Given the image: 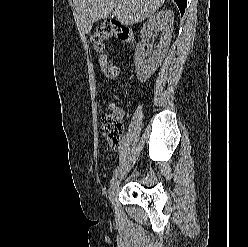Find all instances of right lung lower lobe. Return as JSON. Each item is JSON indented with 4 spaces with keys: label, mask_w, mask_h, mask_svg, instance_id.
<instances>
[{
    "label": "right lung lower lobe",
    "mask_w": 248,
    "mask_h": 247,
    "mask_svg": "<svg viewBox=\"0 0 248 247\" xmlns=\"http://www.w3.org/2000/svg\"><path fill=\"white\" fill-rule=\"evenodd\" d=\"M174 1L177 3L181 15H183L187 4V0H174Z\"/></svg>",
    "instance_id": "obj_1"
}]
</instances>
